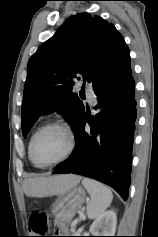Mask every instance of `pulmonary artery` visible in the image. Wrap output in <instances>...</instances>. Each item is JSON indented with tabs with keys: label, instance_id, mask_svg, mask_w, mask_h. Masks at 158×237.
<instances>
[{
	"label": "pulmonary artery",
	"instance_id": "pulmonary-artery-1",
	"mask_svg": "<svg viewBox=\"0 0 158 237\" xmlns=\"http://www.w3.org/2000/svg\"><path fill=\"white\" fill-rule=\"evenodd\" d=\"M87 91H88L90 97L93 98V91H92V89L88 88Z\"/></svg>",
	"mask_w": 158,
	"mask_h": 237
}]
</instances>
